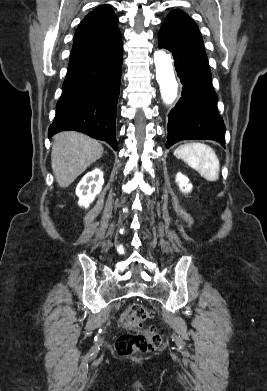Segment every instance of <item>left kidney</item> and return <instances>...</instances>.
Instances as JSON below:
<instances>
[{"label": "left kidney", "mask_w": 267, "mask_h": 391, "mask_svg": "<svg viewBox=\"0 0 267 391\" xmlns=\"http://www.w3.org/2000/svg\"><path fill=\"white\" fill-rule=\"evenodd\" d=\"M176 182L180 188V190L184 193H188L192 189V184L189 183L188 177L183 175L182 173H178L176 176Z\"/></svg>", "instance_id": "1"}]
</instances>
